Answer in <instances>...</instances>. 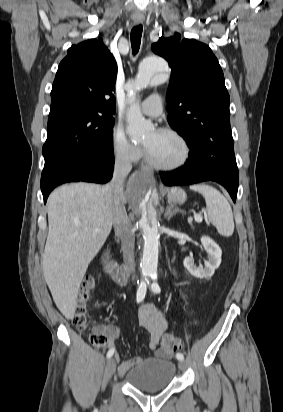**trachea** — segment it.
Here are the masks:
<instances>
[{
  "mask_svg": "<svg viewBox=\"0 0 283 412\" xmlns=\"http://www.w3.org/2000/svg\"><path fill=\"white\" fill-rule=\"evenodd\" d=\"M141 36H142V25H138L133 27L131 30V46H132V53L136 55L140 48L141 43Z\"/></svg>",
  "mask_w": 283,
  "mask_h": 412,
  "instance_id": "1",
  "label": "trachea"
}]
</instances>
